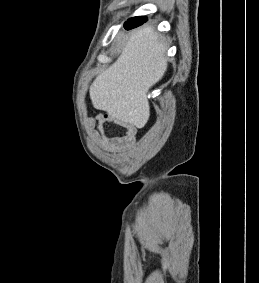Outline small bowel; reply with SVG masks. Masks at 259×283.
<instances>
[{
    "mask_svg": "<svg viewBox=\"0 0 259 283\" xmlns=\"http://www.w3.org/2000/svg\"><path fill=\"white\" fill-rule=\"evenodd\" d=\"M112 123L123 128L122 135H107L105 132V125ZM87 127L90 131L91 137L95 141L102 142L112 151H124L130 148L136 139L135 126L126 120H121L113 117L110 114H97L87 120Z\"/></svg>",
    "mask_w": 259,
    "mask_h": 283,
    "instance_id": "c3829d8e",
    "label": "small bowel"
}]
</instances>
